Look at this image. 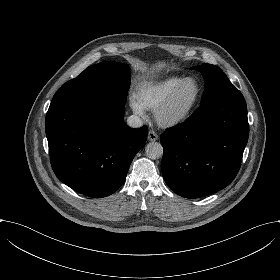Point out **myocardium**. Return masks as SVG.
<instances>
[{
    "label": "myocardium",
    "mask_w": 280,
    "mask_h": 280,
    "mask_svg": "<svg viewBox=\"0 0 280 280\" xmlns=\"http://www.w3.org/2000/svg\"><path fill=\"white\" fill-rule=\"evenodd\" d=\"M191 79L196 80L199 85V92H198L197 99L194 102V104L189 108L180 112H176L174 110L175 100L179 95V93L181 92L184 84ZM203 94H204V86L197 77L187 76L183 78V80L178 85V87L171 93L168 101L162 107H160L156 112L157 120L160 123V125L165 128H175L180 126L184 122H186L199 106Z\"/></svg>",
    "instance_id": "myocardium-1"
}]
</instances>
